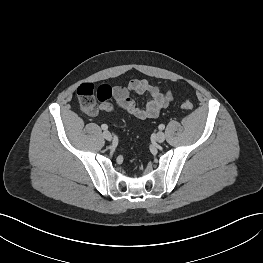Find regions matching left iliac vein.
Returning <instances> with one entry per match:
<instances>
[{"mask_svg": "<svg viewBox=\"0 0 263 263\" xmlns=\"http://www.w3.org/2000/svg\"><path fill=\"white\" fill-rule=\"evenodd\" d=\"M166 136L163 132H158L156 134V141L162 143L165 140Z\"/></svg>", "mask_w": 263, "mask_h": 263, "instance_id": "obj_1", "label": "left iliac vein"}]
</instances>
